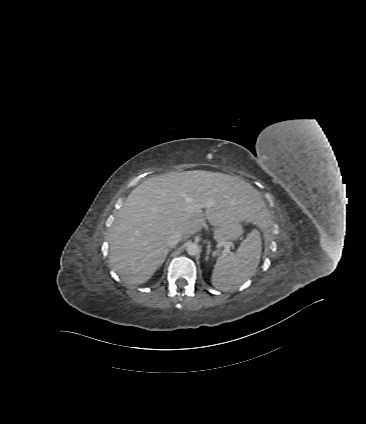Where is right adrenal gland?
<instances>
[{
    "label": "right adrenal gland",
    "instance_id": "obj_1",
    "mask_svg": "<svg viewBox=\"0 0 366 424\" xmlns=\"http://www.w3.org/2000/svg\"><path fill=\"white\" fill-rule=\"evenodd\" d=\"M171 250H172V249H167V250H166V253L164 254V256H163V258H162V260H161L160 266L164 263V261L166 260V257H167V255H168V253H169Z\"/></svg>",
    "mask_w": 366,
    "mask_h": 424
}]
</instances>
